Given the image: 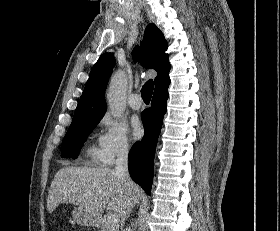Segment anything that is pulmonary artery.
<instances>
[{
  "label": "pulmonary artery",
  "mask_w": 280,
  "mask_h": 231,
  "mask_svg": "<svg viewBox=\"0 0 280 231\" xmlns=\"http://www.w3.org/2000/svg\"><path fill=\"white\" fill-rule=\"evenodd\" d=\"M139 95L138 94H132L129 97V105L132 109L138 110L142 106V102L138 100Z\"/></svg>",
  "instance_id": "e3ab8cb5"
}]
</instances>
